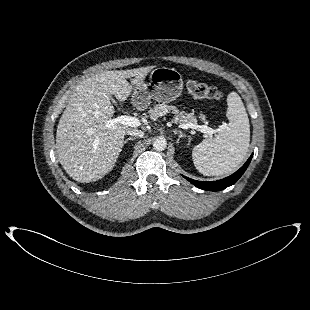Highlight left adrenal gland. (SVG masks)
Wrapping results in <instances>:
<instances>
[{"label":"left adrenal gland","instance_id":"1","mask_svg":"<svg viewBox=\"0 0 310 310\" xmlns=\"http://www.w3.org/2000/svg\"><path fill=\"white\" fill-rule=\"evenodd\" d=\"M173 132H174L175 134H179L178 139H177V143H179V141H180L181 138L186 137V135H185L184 133H182V131H180V130H174Z\"/></svg>","mask_w":310,"mask_h":310}]
</instances>
